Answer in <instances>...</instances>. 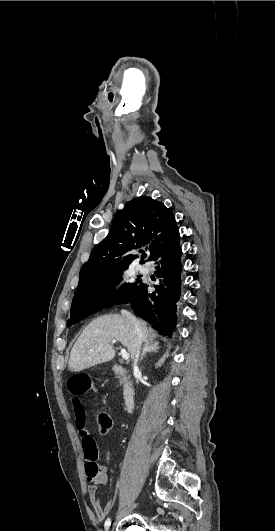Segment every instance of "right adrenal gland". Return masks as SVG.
Returning <instances> with one entry per match:
<instances>
[{
    "mask_svg": "<svg viewBox=\"0 0 275 531\" xmlns=\"http://www.w3.org/2000/svg\"><path fill=\"white\" fill-rule=\"evenodd\" d=\"M160 347L158 341H150V343H144L142 347V355L140 361L144 359L146 353H158Z\"/></svg>",
    "mask_w": 275,
    "mask_h": 531,
    "instance_id": "obj_1",
    "label": "right adrenal gland"
}]
</instances>
